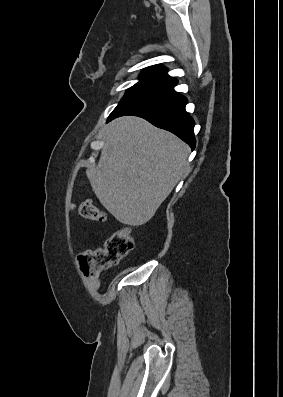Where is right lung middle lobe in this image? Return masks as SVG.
<instances>
[{
  "instance_id": "right-lung-middle-lobe-1",
  "label": "right lung middle lobe",
  "mask_w": 283,
  "mask_h": 397,
  "mask_svg": "<svg viewBox=\"0 0 283 397\" xmlns=\"http://www.w3.org/2000/svg\"><path fill=\"white\" fill-rule=\"evenodd\" d=\"M171 85L165 81L153 80L146 76L140 75V81L134 86L130 87L118 106L112 111L108 119L123 110L124 108L130 106L131 104L144 99L150 95L158 93Z\"/></svg>"
}]
</instances>
